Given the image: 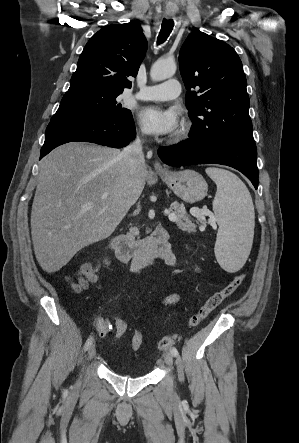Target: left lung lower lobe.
<instances>
[{
	"label": "left lung lower lobe",
	"instance_id": "obj_1",
	"mask_svg": "<svg viewBox=\"0 0 299 443\" xmlns=\"http://www.w3.org/2000/svg\"><path fill=\"white\" fill-rule=\"evenodd\" d=\"M170 166L222 164L242 172L258 188L257 150L254 140L208 142L190 138L178 145L158 149Z\"/></svg>",
	"mask_w": 299,
	"mask_h": 443
}]
</instances>
